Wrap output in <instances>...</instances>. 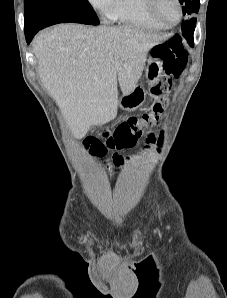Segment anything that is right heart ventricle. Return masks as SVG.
<instances>
[{
	"mask_svg": "<svg viewBox=\"0 0 227 298\" xmlns=\"http://www.w3.org/2000/svg\"><path fill=\"white\" fill-rule=\"evenodd\" d=\"M104 14L119 24L147 30L166 27L153 19L147 9V0H110Z\"/></svg>",
	"mask_w": 227,
	"mask_h": 298,
	"instance_id": "right-heart-ventricle-1",
	"label": "right heart ventricle"
}]
</instances>
